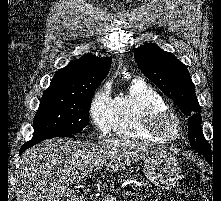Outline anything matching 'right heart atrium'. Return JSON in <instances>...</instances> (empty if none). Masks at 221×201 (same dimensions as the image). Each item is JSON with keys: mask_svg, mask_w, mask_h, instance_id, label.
<instances>
[{"mask_svg": "<svg viewBox=\"0 0 221 201\" xmlns=\"http://www.w3.org/2000/svg\"><path fill=\"white\" fill-rule=\"evenodd\" d=\"M113 105L110 85L104 84L95 92L88 111L93 126L103 136L112 129Z\"/></svg>", "mask_w": 221, "mask_h": 201, "instance_id": "right-heart-atrium-1", "label": "right heart atrium"}]
</instances>
